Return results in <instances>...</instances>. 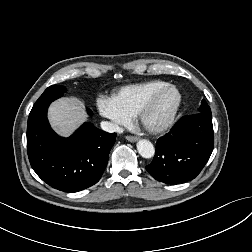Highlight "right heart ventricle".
<instances>
[{"instance_id":"obj_1","label":"right heart ventricle","mask_w":252,"mask_h":252,"mask_svg":"<svg viewBox=\"0 0 252 252\" xmlns=\"http://www.w3.org/2000/svg\"><path fill=\"white\" fill-rule=\"evenodd\" d=\"M169 84L165 80L154 79L120 88L113 94L114 103L127 115L136 116L140 106L157 89Z\"/></svg>"}]
</instances>
